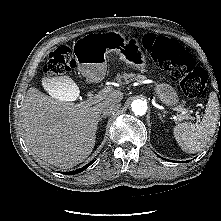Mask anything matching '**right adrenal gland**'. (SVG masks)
Returning a JSON list of instances; mask_svg holds the SVG:
<instances>
[{
	"label": "right adrenal gland",
	"mask_w": 221,
	"mask_h": 221,
	"mask_svg": "<svg viewBox=\"0 0 221 221\" xmlns=\"http://www.w3.org/2000/svg\"><path fill=\"white\" fill-rule=\"evenodd\" d=\"M103 118H105V116H101V117L99 118V121H102Z\"/></svg>",
	"instance_id": "right-adrenal-gland-1"
}]
</instances>
